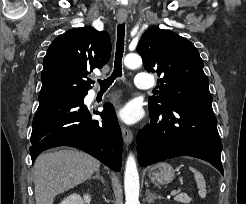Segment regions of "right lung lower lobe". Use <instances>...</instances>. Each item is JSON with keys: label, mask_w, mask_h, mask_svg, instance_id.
I'll use <instances>...</instances> for the list:
<instances>
[{"label": "right lung lower lobe", "mask_w": 246, "mask_h": 204, "mask_svg": "<svg viewBox=\"0 0 246 204\" xmlns=\"http://www.w3.org/2000/svg\"><path fill=\"white\" fill-rule=\"evenodd\" d=\"M87 93L66 92L39 98L33 119L30 153L32 163L44 150L71 146L120 171L122 136L110 104L99 114L102 121L91 119V111L83 105Z\"/></svg>", "instance_id": "right-lung-lower-lobe-1"}]
</instances>
